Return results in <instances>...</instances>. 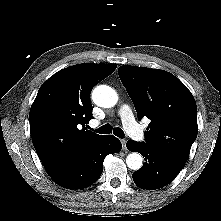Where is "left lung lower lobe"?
I'll list each match as a JSON object with an SVG mask.
<instances>
[{"instance_id":"1","label":"left lung lower lobe","mask_w":221,"mask_h":221,"mask_svg":"<svg viewBox=\"0 0 221 221\" xmlns=\"http://www.w3.org/2000/svg\"><path fill=\"white\" fill-rule=\"evenodd\" d=\"M126 146L144 157L143 166L133 173L135 184L142 189L155 190L168 185L183 168L145 142L129 140Z\"/></svg>"}]
</instances>
